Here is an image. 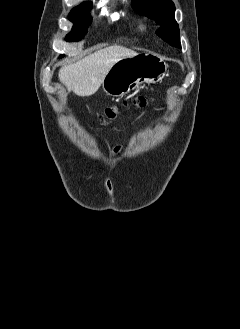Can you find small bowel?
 <instances>
[{
    "label": "small bowel",
    "mask_w": 240,
    "mask_h": 329,
    "mask_svg": "<svg viewBox=\"0 0 240 329\" xmlns=\"http://www.w3.org/2000/svg\"><path fill=\"white\" fill-rule=\"evenodd\" d=\"M123 150H124V147L121 145L114 147V149L112 150V156L115 157V156L119 155Z\"/></svg>",
    "instance_id": "1"
}]
</instances>
